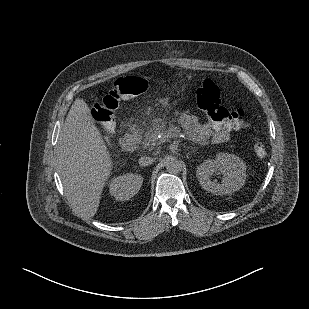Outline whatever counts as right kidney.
Instances as JSON below:
<instances>
[{
	"label": "right kidney",
	"instance_id": "obj_1",
	"mask_svg": "<svg viewBox=\"0 0 309 309\" xmlns=\"http://www.w3.org/2000/svg\"><path fill=\"white\" fill-rule=\"evenodd\" d=\"M143 183L140 174L126 173L114 176L109 182V193L116 200L125 201L138 193Z\"/></svg>",
	"mask_w": 309,
	"mask_h": 309
}]
</instances>
